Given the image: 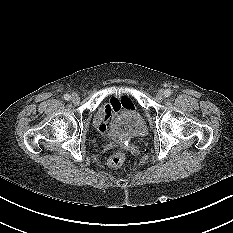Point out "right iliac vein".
<instances>
[{
    "label": "right iliac vein",
    "instance_id": "1",
    "mask_svg": "<svg viewBox=\"0 0 233 233\" xmlns=\"http://www.w3.org/2000/svg\"><path fill=\"white\" fill-rule=\"evenodd\" d=\"M71 101H72L73 103L79 102V101H80L79 95L76 94V93H73V94L71 95Z\"/></svg>",
    "mask_w": 233,
    "mask_h": 233
}]
</instances>
